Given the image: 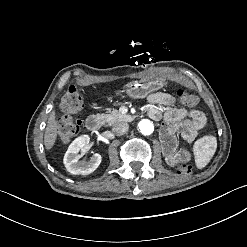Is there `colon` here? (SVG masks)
<instances>
[{
	"label": "colon",
	"mask_w": 247,
	"mask_h": 247,
	"mask_svg": "<svg viewBox=\"0 0 247 247\" xmlns=\"http://www.w3.org/2000/svg\"><path fill=\"white\" fill-rule=\"evenodd\" d=\"M178 99L181 103L191 106H198L199 104L197 97L189 92L180 91ZM82 106L81 93L74 86L68 87L60 104L63 115L58 121V138L62 142L71 141L77 135L81 124L80 111ZM173 165L178 174L187 175L192 171L191 166L180 158L175 159Z\"/></svg>",
	"instance_id": "1"
}]
</instances>
